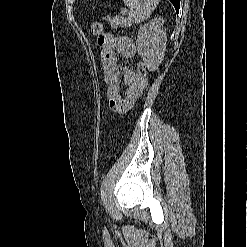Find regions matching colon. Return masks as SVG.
Returning <instances> with one entry per match:
<instances>
[{
  "mask_svg": "<svg viewBox=\"0 0 248 247\" xmlns=\"http://www.w3.org/2000/svg\"><path fill=\"white\" fill-rule=\"evenodd\" d=\"M103 25L100 22H93L91 24V31L94 35H99L103 33ZM146 74H147V68L144 63L139 62L137 64V75L140 81V85L145 88L146 85Z\"/></svg>",
  "mask_w": 248,
  "mask_h": 247,
  "instance_id": "1",
  "label": "colon"
}]
</instances>
